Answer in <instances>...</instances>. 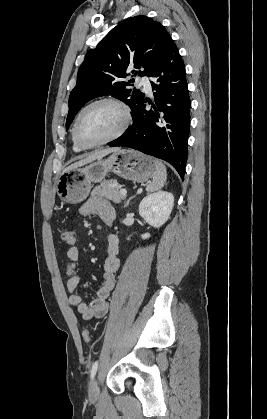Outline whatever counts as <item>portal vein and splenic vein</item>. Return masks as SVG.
<instances>
[{"instance_id": "portal-vein-and-splenic-vein-1", "label": "portal vein and splenic vein", "mask_w": 267, "mask_h": 419, "mask_svg": "<svg viewBox=\"0 0 267 419\" xmlns=\"http://www.w3.org/2000/svg\"><path fill=\"white\" fill-rule=\"evenodd\" d=\"M119 193L123 196H126L127 191H126V189H120Z\"/></svg>"}]
</instances>
